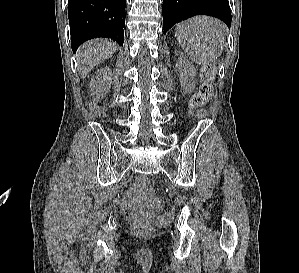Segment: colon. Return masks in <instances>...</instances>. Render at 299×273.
<instances>
[{"instance_id":"colon-1","label":"colon","mask_w":299,"mask_h":273,"mask_svg":"<svg viewBox=\"0 0 299 273\" xmlns=\"http://www.w3.org/2000/svg\"><path fill=\"white\" fill-rule=\"evenodd\" d=\"M201 77L203 83L200 85L198 92L194 95V97L191 100L190 103V110L191 112L195 111L199 107H202L204 104H206L213 96V87L211 82L214 79V69L211 65H206L201 70ZM142 186L149 191L150 185L147 180L142 181ZM125 216L130 217L131 211L126 210ZM171 218L170 214L164 215L161 218V222L168 221ZM132 230L134 233L138 235H149L153 232V227L150 224L147 223H135L132 226Z\"/></svg>"}]
</instances>
